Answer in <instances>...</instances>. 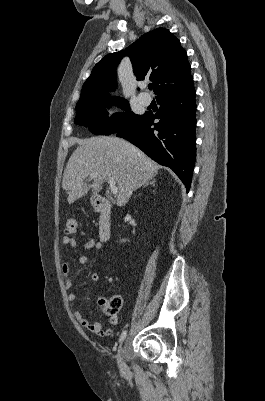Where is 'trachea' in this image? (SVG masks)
<instances>
[{"instance_id":"1","label":"trachea","mask_w":265,"mask_h":401,"mask_svg":"<svg viewBox=\"0 0 265 401\" xmlns=\"http://www.w3.org/2000/svg\"><path fill=\"white\" fill-rule=\"evenodd\" d=\"M148 88H149V90H152V89H153L152 83H149Z\"/></svg>"}]
</instances>
